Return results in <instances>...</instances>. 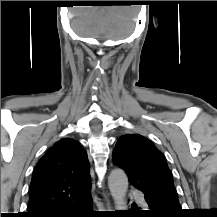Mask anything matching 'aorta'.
I'll list each match as a JSON object with an SVG mask.
<instances>
[{
    "label": "aorta",
    "mask_w": 217,
    "mask_h": 217,
    "mask_svg": "<svg viewBox=\"0 0 217 217\" xmlns=\"http://www.w3.org/2000/svg\"><path fill=\"white\" fill-rule=\"evenodd\" d=\"M108 187L116 210H126V193L128 189V177L126 173L121 169L112 170L108 178Z\"/></svg>",
    "instance_id": "1"
}]
</instances>
